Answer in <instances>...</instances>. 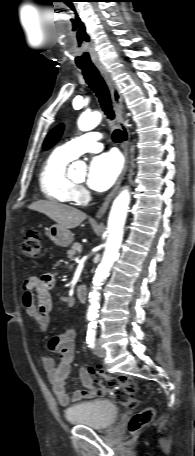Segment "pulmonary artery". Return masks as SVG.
Listing matches in <instances>:
<instances>
[{
	"instance_id": "1",
	"label": "pulmonary artery",
	"mask_w": 195,
	"mask_h": 456,
	"mask_svg": "<svg viewBox=\"0 0 195 456\" xmlns=\"http://www.w3.org/2000/svg\"><path fill=\"white\" fill-rule=\"evenodd\" d=\"M101 134L98 132H89L76 137L65 144L60 149L72 159L77 158L86 152H98L102 150Z\"/></svg>"
}]
</instances>
